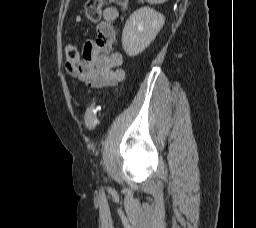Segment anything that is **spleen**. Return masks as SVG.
<instances>
[{
	"label": "spleen",
	"instance_id": "obj_1",
	"mask_svg": "<svg viewBox=\"0 0 256 228\" xmlns=\"http://www.w3.org/2000/svg\"><path fill=\"white\" fill-rule=\"evenodd\" d=\"M146 1L150 4H160V3H164L168 0H146Z\"/></svg>",
	"mask_w": 256,
	"mask_h": 228
}]
</instances>
